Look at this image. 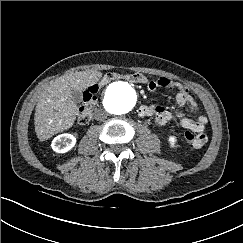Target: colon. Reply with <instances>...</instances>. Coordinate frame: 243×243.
<instances>
[{
    "mask_svg": "<svg viewBox=\"0 0 243 243\" xmlns=\"http://www.w3.org/2000/svg\"><path fill=\"white\" fill-rule=\"evenodd\" d=\"M116 79H125L132 83H147V78L141 73H129V74H120L116 72H109L103 76L100 84L93 85L89 87L83 95V104L78 111V121L81 124L87 123L92 115L94 105L96 103L97 95L99 93L100 85L107 84L108 82ZM184 138L190 144L197 142V136L191 131H186L184 133Z\"/></svg>",
    "mask_w": 243,
    "mask_h": 243,
    "instance_id": "1",
    "label": "colon"
}]
</instances>
